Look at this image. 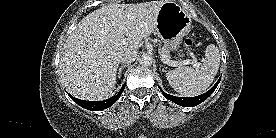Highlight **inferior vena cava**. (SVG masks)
Listing matches in <instances>:
<instances>
[{
  "label": "inferior vena cava",
  "instance_id": "obj_1",
  "mask_svg": "<svg viewBox=\"0 0 276 138\" xmlns=\"http://www.w3.org/2000/svg\"><path fill=\"white\" fill-rule=\"evenodd\" d=\"M137 57V51L135 50H127L119 55V61L122 63L130 64L135 61Z\"/></svg>",
  "mask_w": 276,
  "mask_h": 138
}]
</instances>
